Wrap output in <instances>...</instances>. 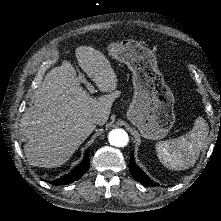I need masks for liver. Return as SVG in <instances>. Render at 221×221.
I'll list each match as a JSON object with an SVG mask.
<instances>
[{
	"label": "liver",
	"mask_w": 221,
	"mask_h": 221,
	"mask_svg": "<svg viewBox=\"0 0 221 221\" xmlns=\"http://www.w3.org/2000/svg\"><path fill=\"white\" fill-rule=\"evenodd\" d=\"M76 56L100 91L110 94L92 98L67 61L51 69L31 97L34 106L26 108L19 124L26 139L24 152L33 166L53 168L67 162L95 129L89 116L98 114L97 124L103 126L120 95L115 91L116 74L102 52L82 46L76 49Z\"/></svg>",
	"instance_id": "6515ba94"
}]
</instances>
